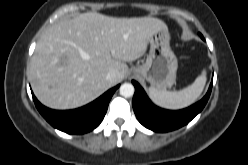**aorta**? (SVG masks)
<instances>
[{
    "instance_id": "1",
    "label": "aorta",
    "mask_w": 248,
    "mask_h": 165,
    "mask_svg": "<svg viewBox=\"0 0 248 165\" xmlns=\"http://www.w3.org/2000/svg\"><path fill=\"white\" fill-rule=\"evenodd\" d=\"M120 95L123 97H131L134 94V86L130 83H124L120 87Z\"/></svg>"
}]
</instances>
